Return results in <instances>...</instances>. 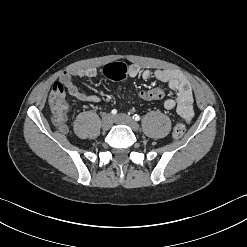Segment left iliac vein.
<instances>
[{
    "mask_svg": "<svg viewBox=\"0 0 247 247\" xmlns=\"http://www.w3.org/2000/svg\"><path fill=\"white\" fill-rule=\"evenodd\" d=\"M114 122L129 126L133 131L139 130V125L131 117L126 114H118L114 117Z\"/></svg>",
    "mask_w": 247,
    "mask_h": 247,
    "instance_id": "obj_1",
    "label": "left iliac vein"
}]
</instances>
